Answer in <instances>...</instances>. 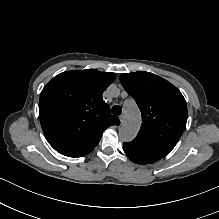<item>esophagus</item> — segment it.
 <instances>
[{
    "label": "esophagus",
    "instance_id": "obj_1",
    "mask_svg": "<svg viewBox=\"0 0 219 219\" xmlns=\"http://www.w3.org/2000/svg\"><path fill=\"white\" fill-rule=\"evenodd\" d=\"M119 120H120L121 124L124 123V121H125V115H124V113L119 116Z\"/></svg>",
    "mask_w": 219,
    "mask_h": 219
}]
</instances>
